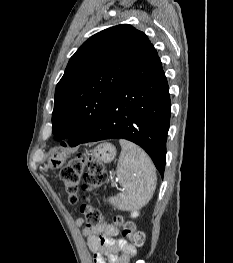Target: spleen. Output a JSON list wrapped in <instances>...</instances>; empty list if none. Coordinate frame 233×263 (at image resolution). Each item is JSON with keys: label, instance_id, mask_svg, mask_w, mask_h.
Listing matches in <instances>:
<instances>
[{"label": "spleen", "instance_id": "1", "mask_svg": "<svg viewBox=\"0 0 233 263\" xmlns=\"http://www.w3.org/2000/svg\"><path fill=\"white\" fill-rule=\"evenodd\" d=\"M119 142L122 151L116 173L122 192L108 201L120 210H131L150 201L157 177L154 165L144 150L127 140Z\"/></svg>", "mask_w": 233, "mask_h": 263}]
</instances>
